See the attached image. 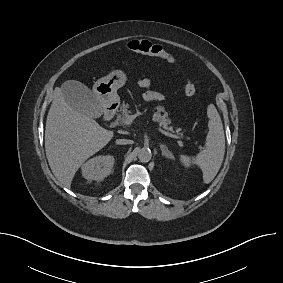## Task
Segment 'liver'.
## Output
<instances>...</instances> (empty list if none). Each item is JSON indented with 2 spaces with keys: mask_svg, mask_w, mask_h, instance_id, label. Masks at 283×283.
I'll return each instance as SVG.
<instances>
[{
  "mask_svg": "<svg viewBox=\"0 0 283 283\" xmlns=\"http://www.w3.org/2000/svg\"><path fill=\"white\" fill-rule=\"evenodd\" d=\"M113 136L92 117L74 111L60 88L55 90L46 121L45 151L52 172L63 186L70 188L79 167Z\"/></svg>",
  "mask_w": 283,
  "mask_h": 283,
  "instance_id": "liver-1",
  "label": "liver"
}]
</instances>
